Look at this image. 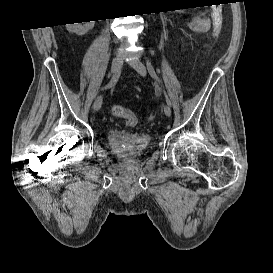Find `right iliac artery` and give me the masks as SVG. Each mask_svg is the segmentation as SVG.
<instances>
[{
    "instance_id": "82829eb1",
    "label": "right iliac artery",
    "mask_w": 273,
    "mask_h": 273,
    "mask_svg": "<svg viewBox=\"0 0 273 273\" xmlns=\"http://www.w3.org/2000/svg\"><path fill=\"white\" fill-rule=\"evenodd\" d=\"M119 76H120V71L115 76H113L111 81L104 87V89H108L114 86L117 83Z\"/></svg>"
}]
</instances>
